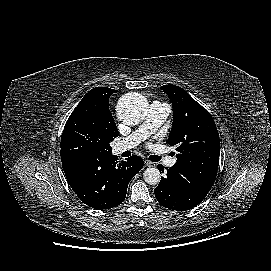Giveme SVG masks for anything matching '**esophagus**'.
Returning a JSON list of instances; mask_svg holds the SVG:
<instances>
[{
    "mask_svg": "<svg viewBox=\"0 0 271 271\" xmlns=\"http://www.w3.org/2000/svg\"><path fill=\"white\" fill-rule=\"evenodd\" d=\"M144 164H145L147 167H152V166H154V163L151 162V161H148V160H144Z\"/></svg>",
    "mask_w": 271,
    "mask_h": 271,
    "instance_id": "esophagus-1",
    "label": "esophagus"
}]
</instances>
